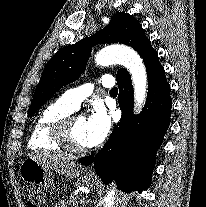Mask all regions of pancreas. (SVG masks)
<instances>
[{
	"instance_id": "1",
	"label": "pancreas",
	"mask_w": 206,
	"mask_h": 207,
	"mask_svg": "<svg viewBox=\"0 0 206 207\" xmlns=\"http://www.w3.org/2000/svg\"><path fill=\"white\" fill-rule=\"evenodd\" d=\"M79 204L80 202L77 201L76 198L72 197L67 202L65 201L58 202L54 207H67V205H70L71 207H79ZM80 207L82 206L80 205Z\"/></svg>"
}]
</instances>
